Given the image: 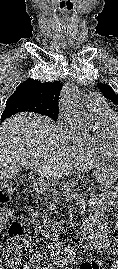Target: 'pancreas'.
<instances>
[{
	"instance_id": "1",
	"label": "pancreas",
	"mask_w": 118,
	"mask_h": 269,
	"mask_svg": "<svg viewBox=\"0 0 118 269\" xmlns=\"http://www.w3.org/2000/svg\"><path fill=\"white\" fill-rule=\"evenodd\" d=\"M51 182L49 179L41 178L35 183V189L37 191H48L50 189ZM95 187H85V192H95Z\"/></svg>"
}]
</instances>
